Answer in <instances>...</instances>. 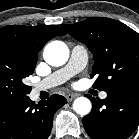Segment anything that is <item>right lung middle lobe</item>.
<instances>
[{
    "label": "right lung middle lobe",
    "instance_id": "1",
    "mask_svg": "<svg viewBox=\"0 0 139 139\" xmlns=\"http://www.w3.org/2000/svg\"><path fill=\"white\" fill-rule=\"evenodd\" d=\"M36 62L9 48H0V100L28 97L31 87L25 79L35 69Z\"/></svg>",
    "mask_w": 139,
    "mask_h": 139
}]
</instances>
